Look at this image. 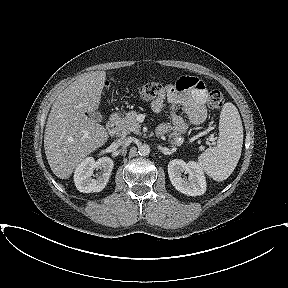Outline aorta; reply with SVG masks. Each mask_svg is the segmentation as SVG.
Instances as JSON below:
<instances>
[{
	"mask_svg": "<svg viewBox=\"0 0 288 288\" xmlns=\"http://www.w3.org/2000/svg\"><path fill=\"white\" fill-rule=\"evenodd\" d=\"M138 153L141 156H147L150 153V146L148 144H142L138 147Z\"/></svg>",
	"mask_w": 288,
	"mask_h": 288,
	"instance_id": "762f6f07",
	"label": "aorta"
}]
</instances>
